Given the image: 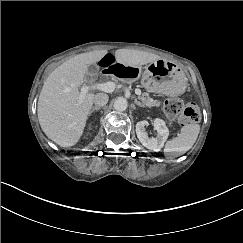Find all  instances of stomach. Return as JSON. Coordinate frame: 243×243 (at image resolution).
I'll list each match as a JSON object with an SVG mask.
<instances>
[{
  "instance_id": "0dacf381",
  "label": "stomach",
  "mask_w": 243,
  "mask_h": 243,
  "mask_svg": "<svg viewBox=\"0 0 243 243\" xmlns=\"http://www.w3.org/2000/svg\"><path fill=\"white\" fill-rule=\"evenodd\" d=\"M141 75L142 85L149 92L177 96L187 87V78L181 68L166 60L159 59L151 62Z\"/></svg>"
}]
</instances>
